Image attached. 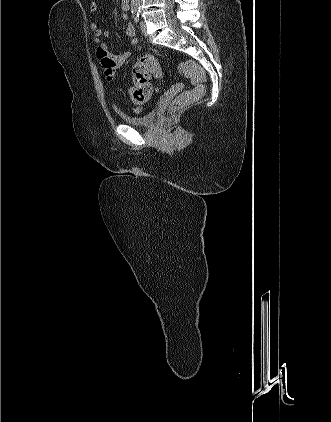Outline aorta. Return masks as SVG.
<instances>
[{
    "instance_id": "762f6f07",
    "label": "aorta",
    "mask_w": 331,
    "mask_h": 422,
    "mask_svg": "<svg viewBox=\"0 0 331 422\" xmlns=\"http://www.w3.org/2000/svg\"><path fill=\"white\" fill-rule=\"evenodd\" d=\"M141 0H131L130 7L132 12H137L140 7Z\"/></svg>"
}]
</instances>
